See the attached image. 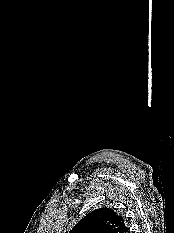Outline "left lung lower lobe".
<instances>
[{"label":"left lung lower lobe","mask_w":174,"mask_h":233,"mask_svg":"<svg viewBox=\"0 0 174 233\" xmlns=\"http://www.w3.org/2000/svg\"><path fill=\"white\" fill-rule=\"evenodd\" d=\"M125 233H130V231L127 229V230L125 231Z\"/></svg>","instance_id":"obj_1"}]
</instances>
